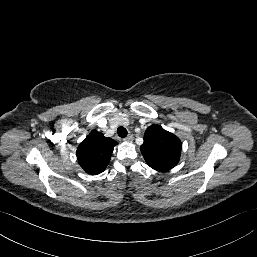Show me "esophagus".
Returning <instances> with one entry per match:
<instances>
[{
	"label": "esophagus",
	"instance_id": "34e87169",
	"mask_svg": "<svg viewBox=\"0 0 257 257\" xmlns=\"http://www.w3.org/2000/svg\"><path fill=\"white\" fill-rule=\"evenodd\" d=\"M133 139H134L133 135L130 134L128 137L124 138V141H126V142H132Z\"/></svg>",
	"mask_w": 257,
	"mask_h": 257
}]
</instances>
